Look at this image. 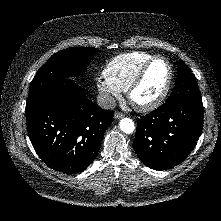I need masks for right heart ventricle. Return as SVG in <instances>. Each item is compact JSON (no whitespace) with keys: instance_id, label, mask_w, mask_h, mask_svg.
I'll use <instances>...</instances> for the list:
<instances>
[{"instance_id":"e07e8e85","label":"right heart ventricle","mask_w":221,"mask_h":221,"mask_svg":"<svg viewBox=\"0 0 221 221\" xmlns=\"http://www.w3.org/2000/svg\"><path fill=\"white\" fill-rule=\"evenodd\" d=\"M152 56L139 51L120 54L105 66L103 77L120 91H126L138 70Z\"/></svg>"}]
</instances>
